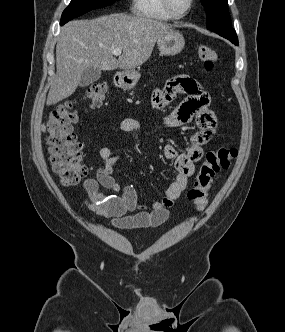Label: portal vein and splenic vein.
Here are the masks:
<instances>
[{
  "mask_svg": "<svg viewBox=\"0 0 285 332\" xmlns=\"http://www.w3.org/2000/svg\"><path fill=\"white\" fill-rule=\"evenodd\" d=\"M112 53H113V55H115V56H120L121 53H122V50H121L120 48L113 49V50H112Z\"/></svg>",
  "mask_w": 285,
  "mask_h": 332,
  "instance_id": "18ae733b",
  "label": "portal vein and splenic vein"
}]
</instances>
